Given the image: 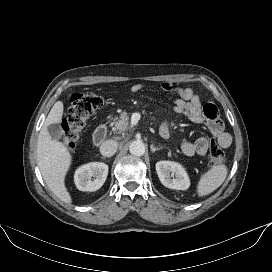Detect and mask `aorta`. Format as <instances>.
I'll return each mask as SVG.
<instances>
[{
	"mask_svg": "<svg viewBox=\"0 0 272 272\" xmlns=\"http://www.w3.org/2000/svg\"><path fill=\"white\" fill-rule=\"evenodd\" d=\"M129 151L134 156H142L145 153V145L141 141H133L130 144Z\"/></svg>",
	"mask_w": 272,
	"mask_h": 272,
	"instance_id": "aorta-1",
	"label": "aorta"
}]
</instances>
